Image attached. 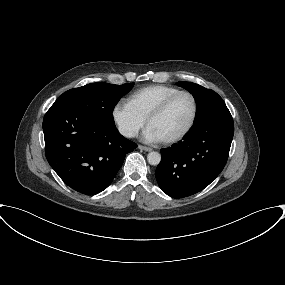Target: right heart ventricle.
<instances>
[{
    "label": "right heart ventricle",
    "instance_id": "right-heart-ventricle-1",
    "mask_svg": "<svg viewBox=\"0 0 285 285\" xmlns=\"http://www.w3.org/2000/svg\"><path fill=\"white\" fill-rule=\"evenodd\" d=\"M178 91H180L178 88L172 86L149 85L133 92L129 97V103L146 120L160 103Z\"/></svg>",
    "mask_w": 285,
    "mask_h": 285
}]
</instances>
